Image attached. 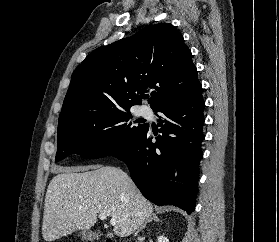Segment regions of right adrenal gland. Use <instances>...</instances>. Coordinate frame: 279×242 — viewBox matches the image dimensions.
I'll return each mask as SVG.
<instances>
[{"instance_id": "right-adrenal-gland-1", "label": "right adrenal gland", "mask_w": 279, "mask_h": 242, "mask_svg": "<svg viewBox=\"0 0 279 242\" xmlns=\"http://www.w3.org/2000/svg\"><path fill=\"white\" fill-rule=\"evenodd\" d=\"M151 221H156L159 222L160 219L157 217V215L155 213L152 214V216L143 223V225L140 226V228H138V230L136 231L135 235H137L142 229H144L147 225V223L151 222Z\"/></svg>"}]
</instances>
